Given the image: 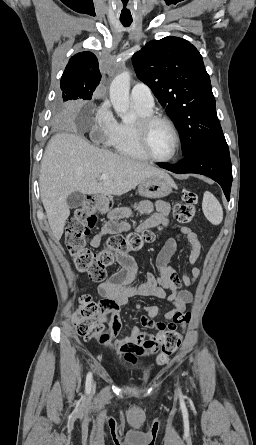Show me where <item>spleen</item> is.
Returning a JSON list of instances; mask_svg holds the SVG:
<instances>
[{"label": "spleen", "instance_id": "1", "mask_svg": "<svg viewBox=\"0 0 256 445\" xmlns=\"http://www.w3.org/2000/svg\"><path fill=\"white\" fill-rule=\"evenodd\" d=\"M202 209L206 219L213 225H219L223 220V209L216 197L206 191L203 195Z\"/></svg>", "mask_w": 256, "mask_h": 445}]
</instances>
